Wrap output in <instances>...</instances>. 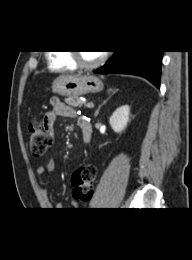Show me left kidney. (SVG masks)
I'll list each match as a JSON object with an SVG mask.
<instances>
[{"mask_svg": "<svg viewBox=\"0 0 192 260\" xmlns=\"http://www.w3.org/2000/svg\"><path fill=\"white\" fill-rule=\"evenodd\" d=\"M129 120L130 107L128 105H123L113 112L112 116L110 117L109 123L115 132L121 133L125 130Z\"/></svg>", "mask_w": 192, "mask_h": 260, "instance_id": "1", "label": "left kidney"}]
</instances>
